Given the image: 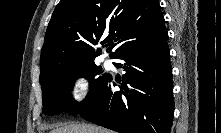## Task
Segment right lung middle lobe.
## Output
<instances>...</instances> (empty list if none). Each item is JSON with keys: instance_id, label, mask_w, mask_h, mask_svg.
I'll return each instance as SVG.
<instances>
[{"instance_id": "obj_1", "label": "right lung middle lobe", "mask_w": 221, "mask_h": 133, "mask_svg": "<svg viewBox=\"0 0 221 133\" xmlns=\"http://www.w3.org/2000/svg\"><path fill=\"white\" fill-rule=\"evenodd\" d=\"M78 77L86 78L90 84L87 97L80 103H77L70 93ZM108 77L94 62L62 63L48 67L40 75L43 112L48 115L61 112L78 115L81 108L98 92Z\"/></svg>"}]
</instances>
